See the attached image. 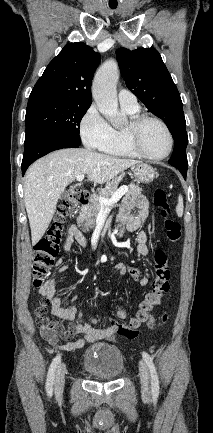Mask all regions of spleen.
Instances as JSON below:
<instances>
[{
	"instance_id": "3e777b00",
	"label": "spleen",
	"mask_w": 213,
	"mask_h": 433,
	"mask_svg": "<svg viewBox=\"0 0 213 433\" xmlns=\"http://www.w3.org/2000/svg\"><path fill=\"white\" fill-rule=\"evenodd\" d=\"M183 210H184L183 197H182V195H179V197H178V204H177V207H176V213H177V215L179 217H182Z\"/></svg>"
}]
</instances>
